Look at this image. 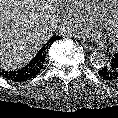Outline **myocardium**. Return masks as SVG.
Wrapping results in <instances>:
<instances>
[{"label": "myocardium", "instance_id": "f54148a6", "mask_svg": "<svg viewBox=\"0 0 118 118\" xmlns=\"http://www.w3.org/2000/svg\"><path fill=\"white\" fill-rule=\"evenodd\" d=\"M118 4V0H112L109 6L101 13L99 17H95V22L98 25L106 26L111 21L113 14L115 12V5ZM113 45L118 47V39H111L110 41Z\"/></svg>", "mask_w": 118, "mask_h": 118}]
</instances>
